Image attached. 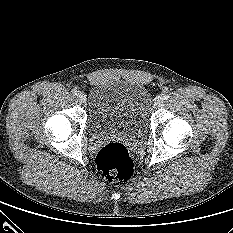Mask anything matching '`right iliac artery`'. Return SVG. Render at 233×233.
<instances>
[{
    "label": "right iliac artery",
    "mask_w": 233,
    "mask_h": 233,
    "mask_svg": "<svg viewBox=\"0 0 233 233\" xmlns=\"http://www.w3.org/2000/svg\"><path fill=\"white\" fill-rule=\"evenodd\" d=\"M71 92H72L73 95H77L78 94V90L77 89H73Z\"/></svg>",
    "instance_id": "82829eb1"
}]
</instances>
